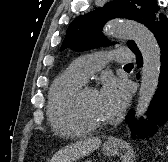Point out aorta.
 Listing matches in <instances>:
<instances>
[{
	"label": "aorta",
	"instance_id": "aorta-1",
	"mask_svg": "<svg viewBox=\"0 0 168 162\" xmlns=\"http://www.w3.org/2000/svg\"><path fill=\"white\" fill-rule=\"evenodd\" d=\"M110 36L132 38L143 57V69L135 117L147 110L158 86L161 66L160 47L151 31L140 23L126 20L111 21L106 29Z\"/></svg>",
	"mask_w": 168,
	"mask_h": 162
}]
</instances>
